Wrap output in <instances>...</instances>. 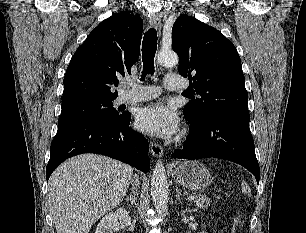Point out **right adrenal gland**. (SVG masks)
Segmentation results:
<instances>
[{"instance_id": "1", "label": "right adrenal gland", "mask_w": 306, "mask_h": 233, "mask_svg": "<svg viewBox=\"0 0 306 233\" xmlns=\"http://www.w3.org/2000/svg\"><path fill=\"white\" fill-rule=\"evenodd\" d=\"M125 200L128 202L130 201V204L133 206L134 204H136V190H132V192L130 193V196L126 197Z\"/></svg>"}]
</instances>
